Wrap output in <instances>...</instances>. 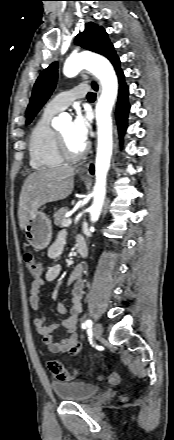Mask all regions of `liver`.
Returning <instances> with one entry per match:
<instances>
[{
  "mask_svg": "<svg viewBox=\"0 0 174 440\" xmlns=\"http://www.w3.org/2000/svg\"><path fill=\"white\" fill-rule=\"evenodd\" d=\"M74 175L73 167L42 168L31 173L19 197L20 228L25 229L42 205L67 198L74 188Z\"/></svg>",
  "mask_w": 174,
  "mask_h": 440,
  "instance_id": "1",
  "label": "liver"
}]
</instances>
